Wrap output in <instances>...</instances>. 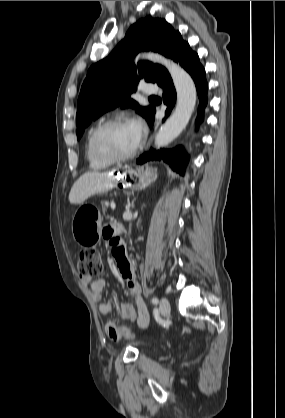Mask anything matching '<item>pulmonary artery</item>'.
<instances>
[{
  "instance_id": "1",
  "label": "pulmonary artery",
  "mask_w": 285,
  "mask_h": 418,
  "mask_svg": "<svg viewBox=\"0 0 285 418\" xmlns=\"http://www.w3.org/2000/svg\"><path fill=\"white\" fill-rule=\"evenodd\" d=\"M141 91L144 94H152L158 91V87L153 86V85H147V86H144Z\"/></svg>"
}]
</instances>
